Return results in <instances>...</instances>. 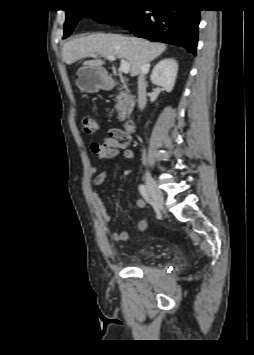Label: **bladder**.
<instances>
[{
	"label": "bladder",
	"instance_id": "bladder-1",
	"mask_svg": "<svg viewBox=\"0 0 254 355\" xmlns=\"http://www.w3.org/2000/svg\"><path fill=\"white\" fill-rule=\"evenodd\" d=\"M142 255H143L144 257H146V256H148V253H147V252H144Z\"/></svg>",
	"mask_w": 254,
	"mask_h": 355
}]
</instances>
